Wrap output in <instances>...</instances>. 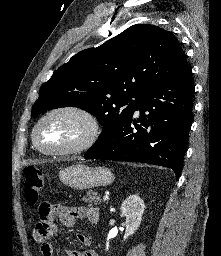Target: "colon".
<instances>
[{"label": "colon", "mask_w": 221, "mask_h": 256, "mask_svg": "<svg viewBox=\"0 0 221 256\" xmlns=\"http://www.w3.org/2000/svg\"><path fill=\"white\" fill-rule=\"evenodd\" d=\"M24 177L27 203L34 205L38 202L45 187V175L38 168L29 166L24 169Z\"/></svg>", "instance_id": "1"}]
</instances>
